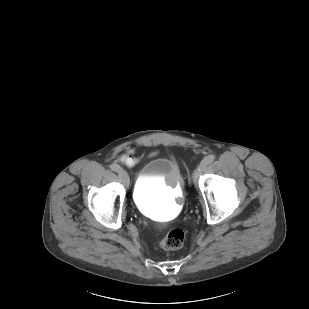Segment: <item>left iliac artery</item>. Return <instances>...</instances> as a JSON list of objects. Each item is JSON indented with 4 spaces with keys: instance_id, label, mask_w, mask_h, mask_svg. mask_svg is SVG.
Instances as JSON below:
<instances>
[{
    "instance_id": "1",
    "label": "left iliac artery",
    "mask_w": 309,
    "mask_h": 309,
    "mask_svg": "<svg viewBox=\"0 0 309 309\" xmlns=\"http://www.w3.org/2000/svg\"><path fill=\"white\" fill-rule=\"evenodd\" d=\"M214 160H215V156L209 155L203 161L206 163V165H208V164L212 163Z\"/></svg>"
}]
</instances>
